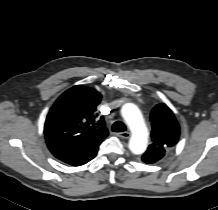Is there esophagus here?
I'll list each match as a JSON object with an SVG mask.
<instances>
[{
	"label": "esophagus",
	"mask_w": 218,
	"mask_h": 210,
	"mask_svg": "<svg viewBox=\"0 0 218 210\" xmlns=\"http://www.w3.org/2000/svg\"><path fill=\"white\" fill-rule=\"evenodd\" d=\"M116 135L120 138H125V139L130 137V133L128 131L120 132V133H117Z\"/></svg>",
	"instance_id": "34e87169"
}]
</instances>
